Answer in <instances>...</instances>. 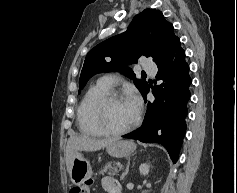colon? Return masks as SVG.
Listing matches in <instances>:
<instances>
[{"label": "colon", "mask_w": 237, "mask_h": 193, "mask_svg": "<svg viewBox=\"0 0 237 193\" xmlns=\"http://www.w3.org/2000/svg\"><path fill=\"white\" fill-rule=\"evenodd\" d=\"M91 181L74 185L69 193H90Z\"/></svg>", "instance_id": "1"}]
</instances>
